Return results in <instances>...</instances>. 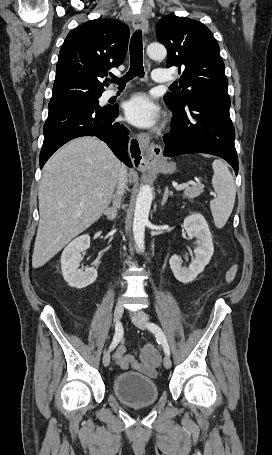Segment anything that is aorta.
<instances>
[{
    "label": "aorta",
    "instance_id": "aorta-1",
    "mask_svg": "<svg viewBox=\"0 0 272 455\" xmlns=\"http://www.w3.org/2000/svg\"><path fill=\"white\" fill-rule=\"evenodd\" d=\"M147 54L153 60H163L167 55L166 48L158 43L147 47ZM153 199L152 189L149 185L140 188L134 211L133 236L139 250H144L145 226L148 223L149 212Z\"/></svg>",
    "mask_w": 272,
    "mask_h": 455
}]
</instances>
